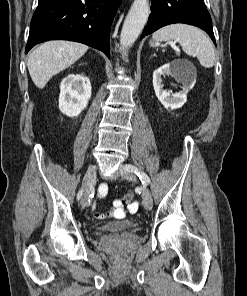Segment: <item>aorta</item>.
I'll return each mask as SVG.
<instances>
[{
    "mask_svg": "<svg viewBox=\"0 0 247 296\" xmlns=\"http://www.w3.org/2000/svg\"><path fill=\"white\" fill-rule=\"evenodd\" d=\"M150 14L148 0H134L120 34V44L128 48L134 44L142 32ZM126 55V53H125Z\"/></svg>",
    "mask_w": 247,
    "mask_h": 296,
    "instance_id": "obj_1",
    "label": "aorta"
}]
</instances>
